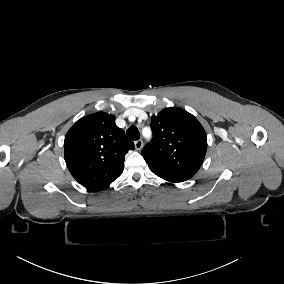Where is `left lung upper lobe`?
<instances>
[{
	"instance_id": "5c2ea615",
	"label": "left lung upper lobe",
	"mask_w": 284,
	"mask_h": 284,
	"mask_svg": "<svg viewBox=\"0 0 284 284\" xmlns=\"http://www.w3.org/2000/svg\"><path fill=\"white\" fill-rule=\"evenodd\" d=\"M153 142L142 155L159 177L188 180L199 170L207 149V136L199 121L179 108H165L151 118Z\"/></svg>"
}]
</instances>
